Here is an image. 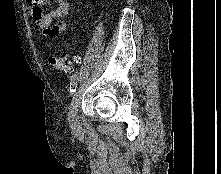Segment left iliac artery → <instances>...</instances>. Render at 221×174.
I'll list each match as a JSON object with an SVG mask.
<instances>
[{
    "instance_id": "44dca946",
    "label": "left iliac artery",
    "mask_w": 221,
    "mask_h": 174,
    "mask_svg": "<svg viewBox=\"0 0 221 174\" xmlns=\"http://www.w3.org/2000/svg\"><path fill=\"white\" fill-rule=\"evenodd\" d=\"M79 81V74L78 72H75L72 77H71V81H70V94H74L76 92V88H77V84Z\"/></svg>"
}]
</instances>
